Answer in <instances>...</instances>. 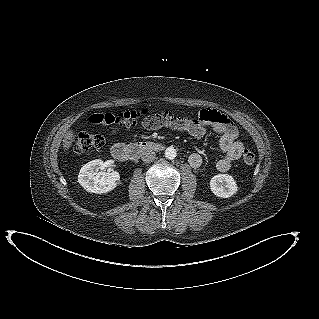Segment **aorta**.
<instances>
[{"label":"aorta","instance_id":"762f6f07","mask_svg":"<svg viewBox=\"0 0 319 319\" xmlns=\"http://www.w3.org/2000/svg\"><path fill=\"white\" fill-rule=\"evenodd\" d=\"M177 155L176 149L174 147H168L165 150V157L168 159H174Z\"/></svg>","mask_w":319,"mask_h":319}]
</instances>
